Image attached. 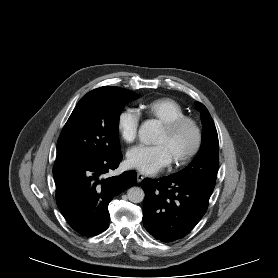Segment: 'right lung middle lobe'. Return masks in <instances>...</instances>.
I'll return each instance as SVG.
<instances>
[{
	"label": "right lung middle lobe",
	"mask_w": 278,
	"mask_h": 278,
	"mask_svg": "<svg viewBox=\"0 0 278 278\" xmlns=\"http://www.w3.org/2000/svg\"><path fill=\"white\" fill-rule=\"evenodd\" d=\"M138 95L126 89L98 88L76 105L57 142L55 163L108 157L120 152L119 118Z\"/></svg>",
	"instance_id": "obj_1"
}]
</instances>
